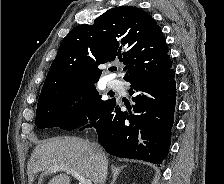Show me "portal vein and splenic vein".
I'll use <instances>...</instances> for the list:
<instances>
[{"label": "portal vein and splenic vein", "instance_id": "1", "mask_svg": "<svg viewBox=\"0 0 224 184\" xmlns=\"http://www.w3.org/2000/svg\"><path fill=\"white\" fill-rule=\"evenodd\" d=\"M50 171H66L67 173H70L72 176H74L78 181L79 184H92L91 180L86 179L84 176H82L80 173L73 169H68L65 167L55 166L49 169Z\"/></svg>", "mask_w": 224, "mask_h": 184}]
</instances>
